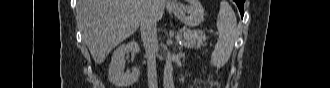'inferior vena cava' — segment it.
<instances>
[{
  "label": "inferior vena cava",
  "instance_id": "602c4592",
  "mask_svg": "<svg viewBox=\"0 0 330 88\" xmlns=\"http://www.w3.org/2000/svg\"><path fill=\"white\" fill-rule=\"evenodd\" d=\"M153 2V0H149ZM141 38L145 48L149 88H158L156 72V55L158 52L157 20L153 7L142 16L140 23Z\"/></svg>",
  "mask_w": 330,
  "mask_h": 88
}]
</instances>
